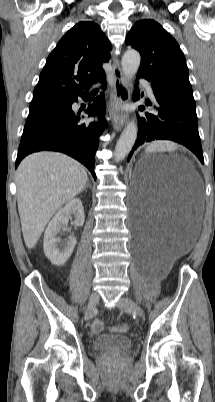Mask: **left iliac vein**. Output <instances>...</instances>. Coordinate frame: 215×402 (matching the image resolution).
Segmentation results:
<instances>
[{
  "instance_id": "1",
  "label": "left iliac vein",
  "mask_w": 215,
  "mask_h": 402,
  "mask_svg": "<svg viewBox=\"0 0 215 402\" xmlns=\"http://www.w3.org/2000/svg\"><path fill=\"white\" fill-rule=\"evenodd\" d=\"M118 305L125 312H133L139 317H142L144 315L143 309L128 297H121Z\"/></svg>"
}]
</instances>
